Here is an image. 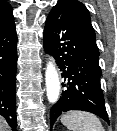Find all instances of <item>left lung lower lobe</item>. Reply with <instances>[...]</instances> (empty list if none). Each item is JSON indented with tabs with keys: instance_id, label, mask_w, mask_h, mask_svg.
Instances as JSON below:
<instances>
[{
	"instance_id": "0a47b994",
	"label": "left lung lower lobe",
	"mask_w": 117,
	"mask_h": 131,
	"mask_svg": "<svg viewBox=\"0 0 117 131\" xmlns=\"http://www.w3.org/2000/svg\"><path fill=\"white\" fill-rule=\"evenodd\" d=\"M44 49L55 58L64 79L62 96L50 112L51 125L69 110L88 111L109 123L100 85L99 51L90 44L69 5L58 2L49 13Z\"/></svg>"
}]
</instances>
